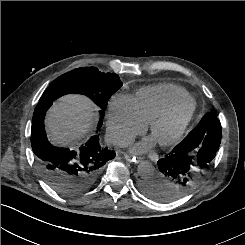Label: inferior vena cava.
I'll return each instance as SVG.
<instances>
[{
	"label": "inferior vena cava",
	"instance_id": "obj_1",
	"mask_svg": "<svg viewBox=\"0 0 245 245\" xmlns=\"http://www.w3.org/2000/svg\"><path fill=\"white\" fill-rule=\"evenodd\" d=\"M115 144H118L119 146L125 147L130 144V141L125 140V139H118L114 141Z\"/></svg>",
	"mask_w": 245,
	"mask_h": 245
}]
</instances>
